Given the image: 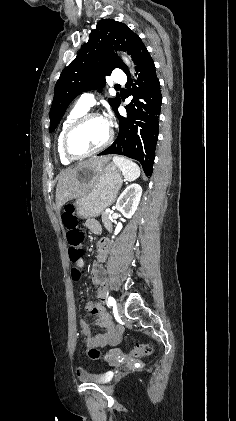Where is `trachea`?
<instances>
[{"label":"trachea","mask_w":236,"mask_h":421,"mask_svg":"<svg viewBox=\"0 0 236 421\" xmlns=\"http://www.w3.org/2000/svg\"><path fill=\"white\" fill-rule=\"evenodd\" d=\"M117 87H120V85H118V84H117V85H115V89H118Z\"/></svg>","instance_id":"1"}]
</instances>
